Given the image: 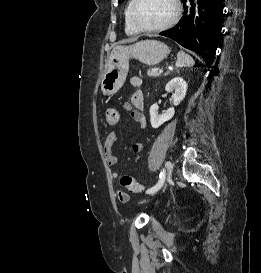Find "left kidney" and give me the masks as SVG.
<instances>
[{
  "label": "left kidney",
  "mask_w": 261,
  "mask_h": 273,
  "mask_svg": "<svg viewBox=\"0 0 261 273\" xmlns=\"http://www.w3.org/2000/svg\"><path fill=\"white\" fill-rule=\"evenodd\" d=\"M165 90L171 92L174 90L172 94L173 105L177 106L184 99L187 91V83L184 81L182 77H175L171 81L166 84ZM150 122L153 128L160 127L166 121L172 119L175 113L174 107L169 108L165 113L159 115L158 114V105L153 104L150 107Z\"/></svg>",
  "instance_id": "obj_1"
}]
</instances>
